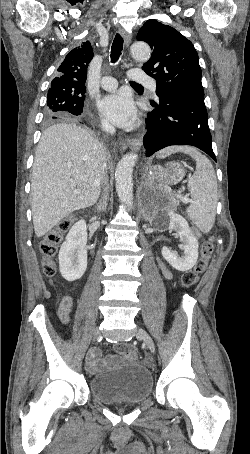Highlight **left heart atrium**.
<instances>
[{
	"label": "left heart atrium",
	"instance_id": "obj_1",
	"mask_svg": "<svg viewBox=\"0 0 250 454\" xmlns=\"http://www.w3.org/2000/svg\"><path fill=\"white\" fill-rule=\"evenodd\" d=\"M103 116L119 127L131 126L136 118L134 103L129 94L119 91L103 96L98 103Z\"/></svg>",
	"mask_w": 250,
	"mask_h": 454
}]
</instances>
